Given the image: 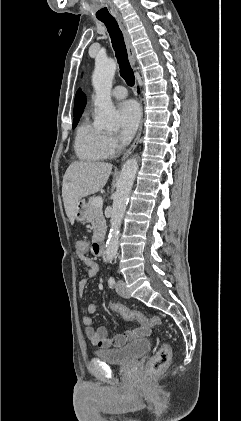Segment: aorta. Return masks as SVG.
Instances as JSON below:
<instances>
[{
  "instance_id": "aorta-1",
  "label": "aorta",
  "mask_w": 241,
  "mask_h": 421,
  "mask_svg": "<svg viewBox=\"0 0 241 421\" xmlns=\"http://www.w3.org/2000/svg\"><path fill=\"white\" fill-rule=\"evenodd\" d=\"M115 71L116 63L113 59L96 60L92 83L96 93L94 103L97 107L95 126L100 129L113 130L116 128L115 107L110 95ZM137 170V159L130 158L123 165L119 176L113 198L111 227L106 243V259L108 261H112L118 251L120 227Z\"/></svg>"
}]
</instances>
